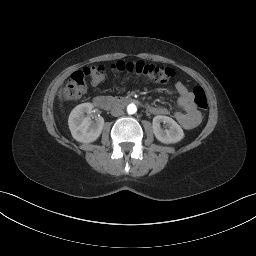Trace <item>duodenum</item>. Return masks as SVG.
Wrapping results in <instances>:
<instances>
[{
  "label": "duodenum",
  "instance_id": "1",
  "mask_svg": "<svg viewBox=\"0 0 256 256\" xmlns=\"http://www.w3.org/2000/svg\"><path fill=\"white\" fill-rule=\"evenodd\" d=\"M94 103L102 109H112L117 105L124 106L128 104H138L139 100L132 97L113 99L107 96L99 95L94 98Z\"/></svg>",
  "mask_w": 256,
  "mask_h": 256
}]
</instances>
